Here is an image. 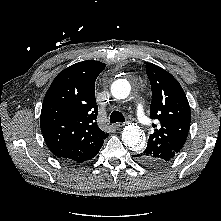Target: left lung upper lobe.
Masks as SVG:
<instances>
[{"mask_svg": "<svg viewBox=\"0 0 221 221\" xmlns=\"http://www.w3.org/2000/svg\"><path fill=\"white\" fill-rule=\"evenodd\" d=\"M151 83L152 101L150 118L158 119L153 124V134L148 145L136 157L148 165H161L171 160L183 147L190 128V106L179 82L166 70L145 62Z\"/></svg>", "mask_w": 221, "mask_h": 221, "instance_id": "left-lung-upper-lobe-1", "label": "left lung upper lobe"}]
</instances>
